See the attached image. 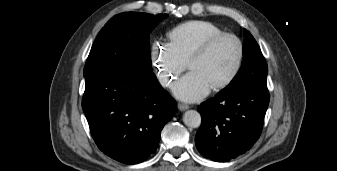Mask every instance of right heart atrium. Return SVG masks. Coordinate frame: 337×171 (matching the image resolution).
Masks as SVG:
<instances>
[{"label": "right heart atrium", "mask_w": 337, "mask_h": 171, "mask_svg": "<svg viewBox=\"0 0 337 171\" xmlns=\"http://www.w3.org/2000/svg\"><path fill=\"white\" fill-rule=\"evenodd\" d=\"M151 60L160 83L165 87L172 86L185 70V63L166 44L152 45Z\"/></svg>", "instance_id": "right-heart-atrium-1"}]
</instances>
